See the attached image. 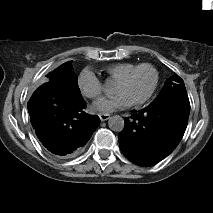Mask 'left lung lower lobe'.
<instances>
[{
    "mask_svg": "<svg viewBox=\"0 0 213 213\" xmlns=\"http://www.w3.org/2000/svg\"><path fill=\"white\" fill-rule=\"evenodd\" d=\"M189 110L177 102L148 106L130 119L118 140L131 162L148 167L168 156L179 144L187 127Z\"/></svg>",
    "mask_w": 213,
    "mask_h": 213,
    "instance_id": "obj_1",
    "label": "left lung lower lobe"
}]
</instances>
